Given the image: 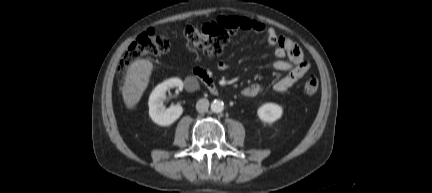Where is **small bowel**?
<instances>
[{
	"mask_svg": "<svg viewBox=\"0 0 432 193\" xmlns=\"http://www.w3.org/2000/svg\"><path fill=\"white\" fill-rule=\"evenodd\" d=\"M218 20L233 30H244L266 36L267 42L276 56L273 67L276 70L286 72L284 77L274 83L273 89L276 92L288 91L308 72L310 64L305 59L301 48L292 40L278 34L274 28L247 17L231 16L222 17ZM229 67L230 64L225 61H219L216 64L218 71L227 70ZM188 88L191 91L194 90L193 85H189ZM262 90V85L251 83L243 88L242 95L255 97Z\"/></svg>",
	"mask_w": 432,
	"mask_h": 193,
	"instance_id": "obj_1",
	"label": "small bowel"
}]
</instances>
